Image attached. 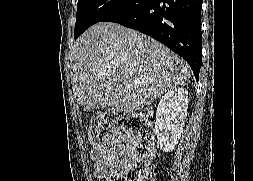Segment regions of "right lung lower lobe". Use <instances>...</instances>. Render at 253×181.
Listing matches in <instances>:
<instances>
[{"instance_id":"obj_1","label":"right lung lower lobe","mask_w":253,"mask_h":181,"mask_svg":"<svg viewBox=\"0 0 253 181\" xmlns=\"http://www.w3.org/2000/svg\"><path fill=\"white\" fill-rule=\"evenodd\" d=\"M202 0H128L103 21L138 30L183 57L196 80L202 63Z\"/></svg>"}]
</instances>
